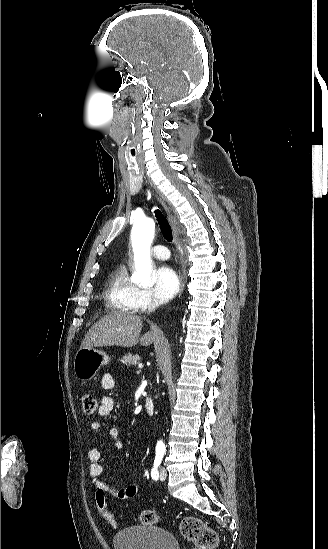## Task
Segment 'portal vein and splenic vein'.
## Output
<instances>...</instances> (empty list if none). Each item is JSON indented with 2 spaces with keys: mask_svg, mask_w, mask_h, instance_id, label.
I'll use <instances>...</instances> for the list:
<instances>
[{
  "mask_svg": "<svg viewBox=\"0 0 328 549\" xmlns=\"http://www.w3.org/2000/svg\"><path fill=\"white\" fill-rule=\"evenodd\" d=\"M138 367H139V369H143V365H141V363H140V365H138Z\"/></svg>",
  "mask_w": 328,
  "mask_h": 549,
  "instance_id": "obj_1",
  "label": "portal vein and splenic vein"
}]
</instances>
